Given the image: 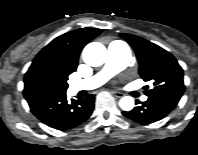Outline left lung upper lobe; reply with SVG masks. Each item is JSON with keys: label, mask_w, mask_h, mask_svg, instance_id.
Returning <instances> with one entry per match:
<instances>
[{"label": "left lung upper lobe", "mask_w": 198, "mask_h": 155, "mask_svg": "<svg viewBox=\"0 0 198 155\" xmlns=\"http://www.w3.org/2000/svg\"><path fill=\"white\" fill-rule=\"evenodd\" d=\"M120 37L135 50L141 78L153 84V88L145 92L148 97H182L183 70L168 51L139 36L121 33Z\"/></svg>", "instance_id": "5c2ea615"}]
</instances>
